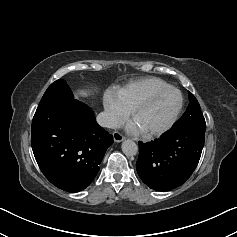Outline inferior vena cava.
Returning <instances> with one entry per match:
<instances>
[{"instance_id":"1","label":"inferior vena cava","mask_w":237,"mask_h":237,"mask_svg":"<svg viewBox=\"0 0 237 237\" xmlns=\"http://www.w3.org/2000/svg\"><path fill=\"white\" fill-rule=\"evenodd\" d=\"M96 120L101 127L115 129L119 126L118 120L107 112L99 113Z\"/></svg>"}]
</instances>
